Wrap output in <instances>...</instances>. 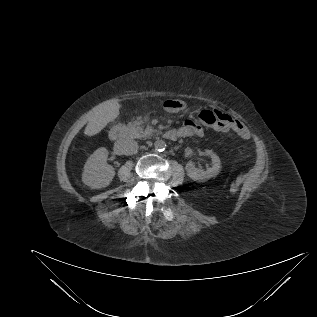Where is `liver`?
<instances>
[{"label": "liver", "mask_w": 317, "mask_h": 317, "mask_svg": "<svg viewBox=\"0 0 317 317\" xmlns=\"http://www.w3.org/2000/svg\"><path fill=\"white\" fill-rule=\"evenodd\" d=\"M120 104L117 99H111L100 103L90 110L87 117V125L84 134L93 136L103 130L119 115Z\"/></svg>", "instance_id": "1"}]
</instances>
